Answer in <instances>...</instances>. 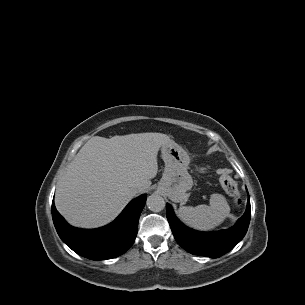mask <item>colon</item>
I'll return each instance as SVG.
<instances>
[{
	"label": "colon",
	"instance_id": "colon-1",
	"mask_svg": "<svg viewBox=\"0 0 305 305\" xmlns=\"http://www.w3.org/2000/svg\"><path fill=\"white\" fill-rule=\"evenodd\" d=\"M220 185L234 203L240 202V193L234 179L229 173H222L219 178Z\"/></svg>",
	"mask_w": 305,
	"mask_h": 305
}]
</instances>
